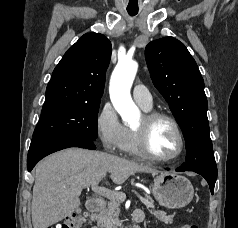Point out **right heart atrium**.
Wrapping results in <instances>:
<instances>
[{"label": "right heart atrium", "instance_id": "right-heart-atrium-1", "mask_svg": "<svg viewBox=\"0 0 238 228\" xmlns=\"http://www.w3.org/2000/svg\"><path fill=\"white\" fill-rule=\"evenodd\" d=\"M96 129L102 146L106 151L122 150L127 137V128L121 122L118 113L110 103H105L97 116Z\"/></svg>", "mask_w": 238, "mask_h": 228}]
</instances>
